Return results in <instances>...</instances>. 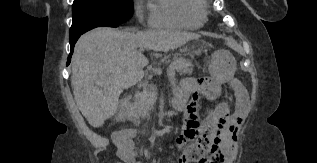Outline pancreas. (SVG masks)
<instances>
[{"instance_id":"obj_1","label":"pancreas","mask_w":317,"mask_h":163,"mask_svg":"<svg viewBox=\"0 0 317 163\" xmlns=\"http://www.w3.org/2000/svg\"><path fill=\"white\" fill-rule=\"evenodd\" d=\"M169 70L180 72L181 74L190 75L193 72V63L183 57H176L169 66ZM157 99V94L154 88H145L142 92L138 93L133 103L130 105L126 112V119L140 124L141 120L150 119V112L154 109V104Z\"/></svg>"}]
</instances>
